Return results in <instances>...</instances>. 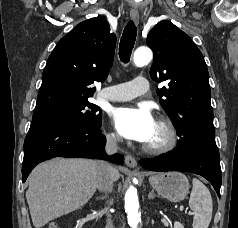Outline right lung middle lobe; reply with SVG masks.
Listing matches in <instances>:
<instances>
[{"label": "right lung middle lobe", "mask_w": 238, "mask_h": 228, "mask_svg": "<svg viewBox=\"0 0 238 228\" xmlns=\"http://www.w3.org/2000/svg\"><path fill=\"white\" fill-rule=\"evenodd\" d=\"M101 115L100 107L88 101H84L59 109L50 114L33 116L32 121H69L93 126L101 123Z\"/></svg>", "instance_id": "right-lung-middle-lobe-1"}]
</instances>
